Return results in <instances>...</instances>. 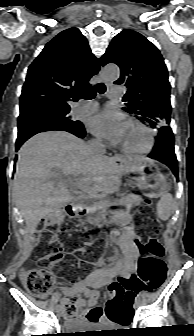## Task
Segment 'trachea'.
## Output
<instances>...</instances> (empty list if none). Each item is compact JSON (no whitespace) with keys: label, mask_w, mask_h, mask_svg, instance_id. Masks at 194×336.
<instances>
[{"label":"trachea","mask_w":194,"mask_h":336,"mask_svg":"<svg viewBox=\"0 0 194 336\" xmlns=\"http://www.w3.org/2000/svg\"><path fill=\"white\" fill-rule=\"evenodd\" d=\"M96 90H98L100 94H103L106 91V87L103 83H99L97 87L93 86L81 93L75 94L73 99L74 101H78L79 99L91 100L96 96Z\"/></svg>","instance_id":"1"}]
</instances>
